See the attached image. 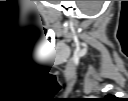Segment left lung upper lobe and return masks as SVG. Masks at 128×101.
Masks as SVG:
<instances>
[{
    "label": "left lung upper lobe",
    "instance_id": "1",
    "mask_svg": "<svg viewBox=\"0 0 128 101\" xmlns=\"http://www.w3.org/2000/svg\"><path fill=\"white\" fill-rule=\"evenodd\" d=\"M111 97H113V96H111V95H108V96L106 97V99H108V98H111Z\"/></svg>",
    "mask_w": 128,
    "mask_h": 101
}]
</instances>
